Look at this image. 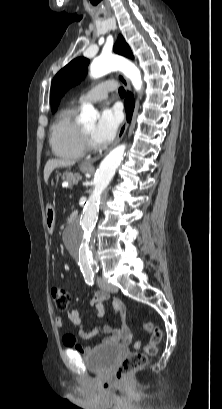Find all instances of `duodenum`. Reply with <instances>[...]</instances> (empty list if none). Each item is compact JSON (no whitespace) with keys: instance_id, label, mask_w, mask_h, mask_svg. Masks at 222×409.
I'll return each instance as SVG.
<instances>
[{"instance_id":"duodenum-1","label":"duodenum","mask_w":222,"mask_h":409,"mask_svg":"<svg viewBox=\"0 0 222 409\" xmlns=\"http://www.w3.org/2000/svg\"><path fill=\"white\" fill-rule=\"evenodd\" d=\"M78 216H79V214H78L77 211H72L71 214H70V218H69L70 222L76 221Z\"/></svg>"}]
</instances>
